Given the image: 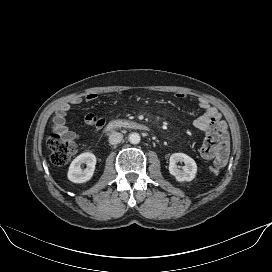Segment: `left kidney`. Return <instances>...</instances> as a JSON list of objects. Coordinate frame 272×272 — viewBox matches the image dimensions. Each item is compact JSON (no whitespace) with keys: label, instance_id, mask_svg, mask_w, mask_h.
<instances>
[{"label":"left kidney","instance_id":"obj_1","mask_svg":"<svg viewBox=\"0 0 272 272\" xmlns=\"http://www.w3.org/2000/svg\"><path fill=\"white\" fill-rule=\"evenodd\" d=\"M178 162H183L185 166L179 169L176 165ZM169 173L179 182L191 181L197 173L196 162L184 153H174L170 156Z\"/></svg>","mask_w":272,"mask_h":272}]
</instances>
